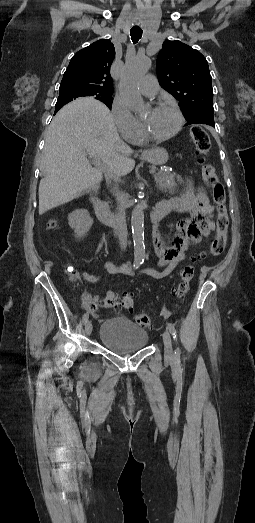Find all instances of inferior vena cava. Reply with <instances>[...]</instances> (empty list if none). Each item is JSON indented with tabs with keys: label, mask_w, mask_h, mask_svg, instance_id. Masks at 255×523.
<instances>
[{
	"label": "inferior vena cava",
	"mask_w": 255,
	"mask_h": 523,
	"mask_svg": "<svg viewBox=\"0 0 255 523\" xmlns=\"http://www.w3.org/2000/svg\"><path fill=\"white\" fill-rule=\"evenodd\" d=\"M118 198H120V194H118ZM117 210H118V212L115 216V232L119 238V244H120L121 250H126V248H127V228H126L125 212H124V208H122V206H118Z\"/></svg>",
	"instance_id": "1"
}]
</instances>
